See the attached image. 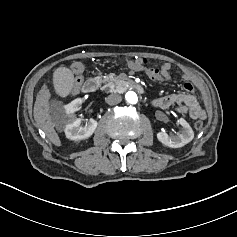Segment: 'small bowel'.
Instances as JSON below:
<instances>
[{
    "instance_id": "small-bowel-1",
    "label": "small bowel",
    "mask_w": 237,
    "mask_h": 237,
    "mask_svg": "<svg viewBox=\"0 0 237 237\" xmlns=\"http://www.w3.org/2000/svg\"><path fill=\"white\" fill-rule=\"evenodd\" d=\"M129 67L134 71H143L142 68L135 64V61L129 62ZM160 75L162 80H168L170 78L171 65L170 63H163L159 66ZM181 77L185 81L183 88V93L169 94L159 97L153 101V104L161 109H168L170 107H175V109L180 113H186L193 119H205L206 112L201 107L197 98L193 95L194 85H193V75L190 72L181 70L179 72ZM81 78H76L72 86V93L78 92L81 85Z\"/></svg>"
}]
</instances>
